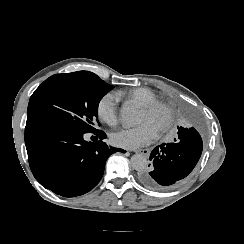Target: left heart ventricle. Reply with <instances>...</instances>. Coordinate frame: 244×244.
Returning <instances> with one entry per match:
<instances>
[{
  "label": "left heart ventricle",
  "instance_id": "obj_1",
  "mask_svg": "<svg viewBox=\"0 0 244 244\" xmlns=\"http://www.w3.org/2000/svg\"><path fill=\"white\" fill-rule=\"evenodd\" d=\"M170 119L168 113L163 108H158L152 111H146L140 108L138 113V123H148L161 133L168 125Z\"/></svg>",
  "mask_w": 244,
  "mask_h": 244
}]
</instances>
